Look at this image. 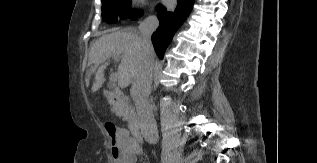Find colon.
<instances>
[{
  "label": "colon",
  "instance_id": "colon-1",
  "mask_svg": "<svg viewBox=\"0 0 317 163\" xmlns=\"http://www.w3.org/2000/svg\"><path fill=\"white\" fill-rule=\"evenodd\" d=\"M106 130H107L109 136H110L111 139H112L113 145H115L117 129L115 128V126L109 124V125L106 126Z\"/></svg>",
  "mask_w": 317,
  "mask_h": 163
}]
</instances>
